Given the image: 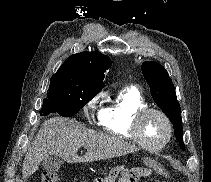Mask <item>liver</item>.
I'll list each match as a JSON object with an SVG mask.
<instances>
[{"mask_svg":"<svg viewBox=\"0 0 211 182\" xmlns=\"http://www.w3.org/2000/svg\"><path fill=\"white\" fill-rule=\"evenodd\" d=\"M81 147L87 149L83 157L77 154ZM137 150L134 145L88 129L75 119L54 117L42 124L28 148L22 165V177L26 181L38 170L41 161L50 155L70 163H81L119 157Z\"/></svg>","mask_w":211,"mask_h":182,"instance_id":"6515ba94","label":"liver"}]
</instances>
